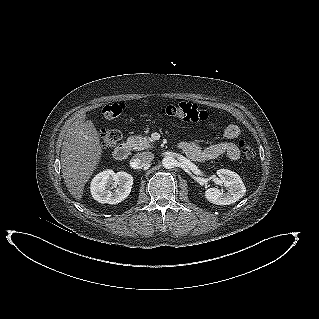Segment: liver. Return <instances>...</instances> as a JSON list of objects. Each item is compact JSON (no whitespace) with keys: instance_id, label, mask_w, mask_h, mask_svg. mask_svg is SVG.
Masks as SVG:
<instances>
[{"instance_id":"liver-1","label":"liver","mask_w":319,"mask_h":319,"mask_svg":"<svg viewBox=\"0 0 319 319\" xmlns=\"http://www.w3.org/2000/svg\"><path fill=\"white\" fill-rule=\"evenodd\" d=\"M102 147L97 129L80 114L68 127L61 149V165L70 194L81 200L86 182L96 169Z\"/></svg>"}]
</instances>
